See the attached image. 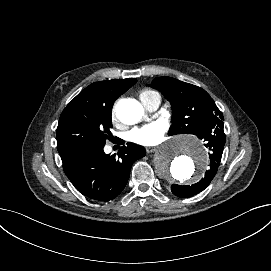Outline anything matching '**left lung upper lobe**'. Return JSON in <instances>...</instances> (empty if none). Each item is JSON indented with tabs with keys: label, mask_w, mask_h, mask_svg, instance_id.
<instances>
[{
	"label": "left lung upper lobe",
	"mask_w": 271,
	"mask_h": 271,
	"mask_svg": "<svg viewBox=\"0 0 271 271\" xmlns=\"http://www.w3.org/2000/svg\"><path fill=\"white\" fill-rule=\"evenodd\" d=\"M151 86L161 91L172 104L173 124L169 135L194 134L199 139H206L205 135L223 127L222 112L202 88L172 77H157Z\"/></svg>",
	"instance_id": "5c2ea615"
}]
</instances>
